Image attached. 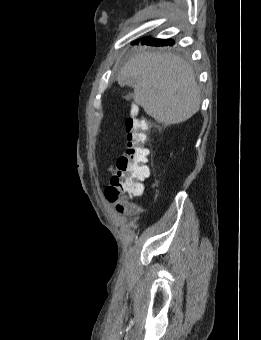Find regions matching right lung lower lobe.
I'll return each mask as SVG.
<instances>
[{"label":"right lung lower lobe","mask_w":261,"mask_h":340,"mask_svg":"<svg viewBox=\"0 0 261 340\" xmlns=\"http://www.w3.org/2000/svg\"><path fill=\"white\" fill-rule=\"evenodd\" d=\"M138 42H139V40L136 41V43H138ZM167 42H168V40H164V39H150V38L141 39L142 44L154 45V46L167 45Z\"/></svg>","instance_id":"1"}]
</instances>
